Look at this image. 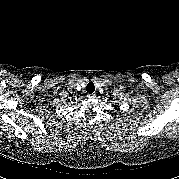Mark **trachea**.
Wrapping results in <instances>:
<instances>
[{
	"label": "trachea",
	"instance_id": "obj_1",
	"mask_svg": "<svg viewBox=\"0 0 179 179\" xmlns=\"http://www.w3.org/2000/svg\"><path fill=\"white\" fill-rule=\"evenodd\" d=\"M86 91L90 94H92L95 91L94 83L89 82L86 86Z\"/></svg>",
	"mask_w": 179,
	"mask_h": 179
}]
</instances>
